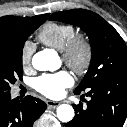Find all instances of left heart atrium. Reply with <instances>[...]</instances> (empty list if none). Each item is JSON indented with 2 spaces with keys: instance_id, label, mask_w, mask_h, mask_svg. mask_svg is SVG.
<instances>
[{
  "instance_id": "1",
  "label": "left heart atrium",
  "mask_w": 127,
  "mask_h": 127,
  "mask_svg": "<svg viewBox=\"0 0 127 127\" xmlns=\"http://www.w3.org/2000/svg\"><path fill=\"white\" fill-rule=\"evenodd\" d=\"M74 82L72 75L67 71H60L53 74H44L34 82L35 89L49 98H60L65 89Z\"/></svg>"
}]
</instances>
